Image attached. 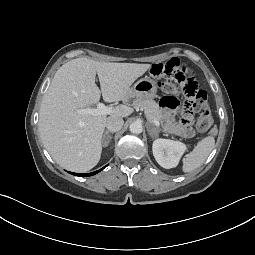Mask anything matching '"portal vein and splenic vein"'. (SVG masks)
<instances>
[{
    "instance_id": "obj_1",
    "label": "portal vein and splenic vein",
    "mask_w": 255,
    "mask_h": 255,
    "mask_svg": "<svg viewBox=\"0 0 255 255\" xmlns=\"http://www.w3.org/2000/svg\"><path fill=\"white\" fill-rule=\"evenodd\" d=\"M79 114H90V115H109L112 113V107L106 106L104 103L99 102L97 108H86L77 110ZM153 124L159 127L160 123L157 120L153 121Z\"/></svg>"
}]
</instances>
